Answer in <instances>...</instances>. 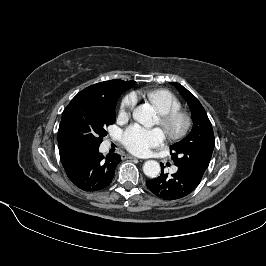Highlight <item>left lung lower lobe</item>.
<instances>
[{
    "mask_svg": "<svg viewBox=\"0 0 266 266\" xmlns=\"http://www.w3.org/2000/svg\"><path fill=\"white\" fill-rule=\"evenodd\" d=\"M161 167L163 169L162 164ZM199 183L180 168L171 176L162 173L159 177L146 181L149 190L164 200L183 198L193 192Z\"/></svg>",
    "mask_w": 266,
    "mask_h": 266,
    "instance_id": "obj_1",
    "label": "left lung lower lobe"
}]
</instances>
